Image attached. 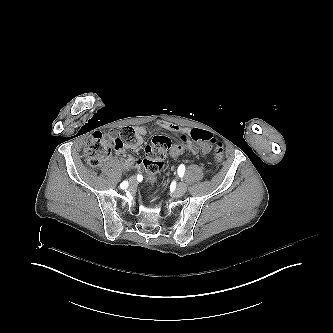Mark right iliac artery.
<instances>
[{
    "label": "right iliac artery",
    "mask_w": 333,
    "mask_h": 333,
    "mask_svg": "<svg viewBox=\"0 0 333 333\" xmlns=\"http://www.w3.org/2000/svg\"><path fill=\"white\" fill-rule=\"evenodd\" d=\"M121 189H126L128 187V182L124 181L120 184Z\"/></svg>",
    "instance_id": "right-iliac-artery-1"
}]
</instances>
